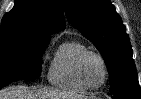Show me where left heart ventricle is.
Masks as SVG:
<instances>
[{
    "instance_id": "left-heart-ventricle-1",
    "label": "left heart ventricle",
    "mask_w": 141,
    "mask_h": 99,
    "mask_svg": "<svg viewBox=\"0 0 141 99\" xmlns=\"http://www.w3.org/2000/svg\"><path fill=\"white\" fill-rule=\"evenodd\" d=\"M84 76L89 84L99 85L104 78V69L100 60L94 56H90L84 63Z\"/></svg>"
}]
</instances>
